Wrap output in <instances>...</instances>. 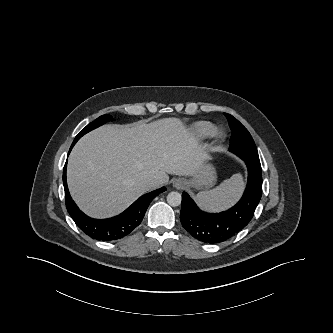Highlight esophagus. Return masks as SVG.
Listing matches in <instances>:
<instances>
[{"instance_id": "obj_1", "label": "esophagus", "mask_w": 333, "mask_h": 333, "mask_svg": "<svg viewBox=\"0 0 333 333\" xmlns=\"http://www.w3.org/2000/svg\"><path fill=\"white\" fill-rule=\"evenodd\" d=\"M185 186V182L183 179H175L173 181V187L177 188V189H181Z\"/></svg>"}]
</instances>
